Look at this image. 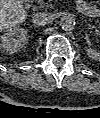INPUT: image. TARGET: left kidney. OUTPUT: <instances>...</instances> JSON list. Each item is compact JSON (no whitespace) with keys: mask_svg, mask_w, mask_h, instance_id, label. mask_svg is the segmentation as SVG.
I'll use <instances>...</instances> for the list:
<instances>
[{"mask_svg":"<svg viewBox=\"0 0 100 118\" xmlns=\"http://www.w3.org/2000/svg\"><path fill=\"white\" fill-rule=\"evenodd\" d=\"M87 55L95 60V61H99L100 60V52H98L97 50L95 49H92V48H88L87 50Z\"/></svg>","mask_w":100,"mask_h":118,"instance_id":"1","label":"left kidney"}]
</instances>
